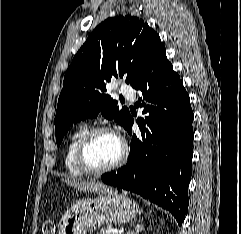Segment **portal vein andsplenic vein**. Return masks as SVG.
Returning a JSON list of instances; mask_svg holds the SVG:
<instances>
[{"label":"portal vein and splenic vein","instance_id":"obj_1","mask_svg":"<svg viewBox=\"0 0 241 234\" xmlns=\"http://www.w3.org/2000/svg\"><path fill=\"white\" fill-rule=\"evenodd\" d=\"M109 233H112V234H116V232L113 230V231H111V232H109Z\"/></svg>","mask_w":241,"mask_h":234}]
</instances>
